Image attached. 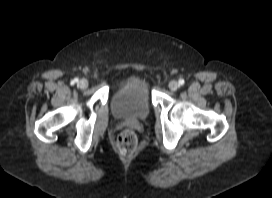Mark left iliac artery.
I'll list each match as a JSON object with an SVG mask.
<instances>
[{
  "instance_id": "left-iliac-artery-1",
  "label": "left iliac artery",
  "mask_w": 272,
  "mask_h": 198,
  "mask_svg": "<svg viewBox=\"0 0 272 198\" xmlns=\"http://www.w3.org/2000/svg\"><path fill=\"white\" fill-rule=\"evenodd\" d=\"M184 83H185L184 79L179 80V85H184Z\"/></svg>"
}]
</instances>
